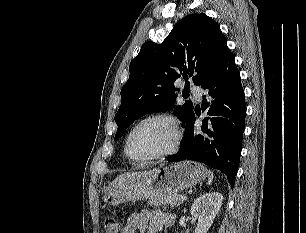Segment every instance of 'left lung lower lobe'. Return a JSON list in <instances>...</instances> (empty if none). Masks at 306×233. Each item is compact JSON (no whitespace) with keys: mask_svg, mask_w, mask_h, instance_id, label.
<instances>
[{"mask_svg":"<svg viewBox=\"0 0 306 233\" xmlns=\"http://www.w3.org/2000/svg\"><path fill=\"white\" fill-rule=\"evenodd\" d=\"M201 87L207 90L201 108L207 111L208 117L202 121L201 128L194 129L195 114H191L180 150L167 159H190L219 169L233 188L241 155L246 104L235 57L230 50Z\"/></svg>","mask_w":306,"mask_h":233,"instance_id":"0a47b994","label":"left lung lower lobe"}]
</instances>
